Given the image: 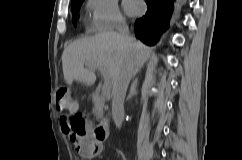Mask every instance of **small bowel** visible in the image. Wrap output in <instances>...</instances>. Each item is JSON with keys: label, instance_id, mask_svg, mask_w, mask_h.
Segmentation results:
<instances>
[{"label": "small bowel", "instance_id": "obj_1", "mask_svg": "<svg viewBox=\"0 0 242 160\" xmlns=\"http://www.w3.org/2000/svg\"><path fill=\"white\" fill-rule=\"evenodd\" d=\"M61 125L63 131L69 133L66 122L64 120H61ZM69 139L72 141V143L75 145L77 152L82 157H89L87 155L88 151L91 148L90 142H92V132H91V126L87 122V129L83 136H75L74 134L69 133ZM101 148V147H100Z\"/></svg>", "mask_w": 242, "mask_h": 160}]
</instances>
